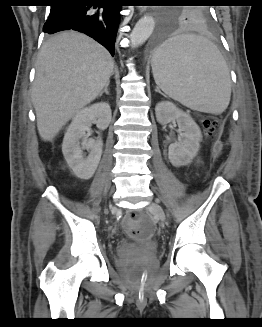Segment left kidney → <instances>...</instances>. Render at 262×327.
<instances>
[{
  "label": "left kidney",
  "mask_w": 262,
  "mask_h": 327,
  "mask_svg": "<svg viewBox=\"0 0 262 327\" xmlns=\"http://www.w3.org/2000/svg\"><path fill=\"white\" fill-rule=\"evenodd\" d=\"M157 121L167 124L176 120L182 134L178 141L168 148V157L175 167L185 166L192 162L197 155L202 134L199 126L188 114L169 101L160 102L155 107Z\"/></svg>",
  "instance_id": "5707ae66"
}]
</instances>
